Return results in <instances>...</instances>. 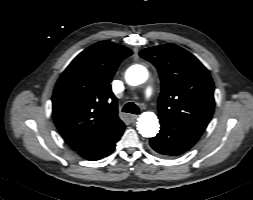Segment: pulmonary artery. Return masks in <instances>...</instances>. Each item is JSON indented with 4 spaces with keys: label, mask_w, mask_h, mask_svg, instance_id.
I'll return each instance as SVG.
<instances>
[{
    "label": "pulmonary artery",
    "mask_w": 253,
    "mask_h": 200,
    "mask_svg": "<svg viewBox=\"0 0 253 200\" xmlns=\"http://www.w3.org/2000/svg\"><path fill=\"white\" fill-rule=\"evenodd\" d=\"M152 95V88L150 86H148L145 90V96L147 99H149Z\"/></svg>",
    "instance_id": "1"
}]
</instances>
